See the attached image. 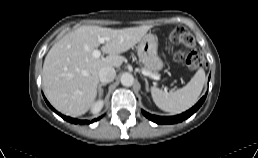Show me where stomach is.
<instances>
[{
  "label": "stomach",
  "mask_w": 258,
  "mask_h": 158,
  "mask_svg": "<svg viewBox=\"0 0 258 158\" xmlns=\"http://www.w3.org/2000/svg\"><path fill=\"white\" fill-rule=\"evenodd\" d=\"M157 50L158 40L153 34L145 35L137 47L140 62L152 71H160L163 68V62L158 56Z\"/></svg>",
  "instance_id": "stomach-1"
}]
</instances>
